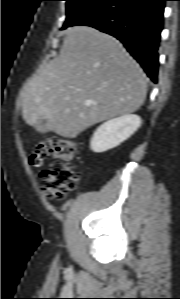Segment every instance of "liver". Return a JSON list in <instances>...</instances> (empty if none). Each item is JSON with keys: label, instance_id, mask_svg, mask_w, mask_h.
Returning <instances> with one entry per match:
<instances>
[{"label": "liver", "instance_id": "liver-1", "mask_svg": "<svg viewBox=\"0 0 180 299\" xmlns=\"http://www.w3.org/2000/svg\"><path fill=\"white\" fill-rule=\"evenodd\" d=\"M146 93L143 70L117 39L76 26L66 30L59 56L25 86L22 116L40 133L75 138L98 122L137 111Z\"/></svg>", "mask_w": 180, "mask_h": 299}]
</instances>
